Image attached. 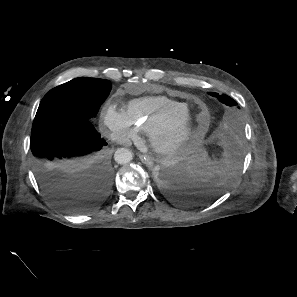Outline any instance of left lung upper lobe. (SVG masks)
I'll list each match as a JSON object with an SVG mask.
<instances>
[{"label":"left lung upper lobe","mask_w":297,"mask_h":297,"mask_svg":"<svg viewBox=\"0 0 297 297\" xmlns=\"http://www.w3.org/2000/svg\"><path fill=\"white\" fill-rule=\"evenodd\" d=\"M211 96L218 98V100L220 102H222L223 104L229 106V107H233V106H237V102L235 100H233L232 98H230L227 95H219L218 93H210ZM234 121H236V116L234 113L229 112L226 116V119L224 121V126L225 127H232L234 126ZM236 126V123H235Z\"/></svg>","instance_id":"left-lung-upper-lobe-1"}]
</instances>
